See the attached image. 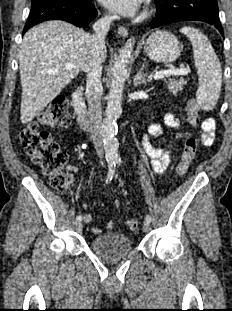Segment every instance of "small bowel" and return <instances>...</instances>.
<instances>
[{
  "instance_id": "c3829d8e",
  "label": "small bowel",
  "mask_w": 232,
  "mask_h": 311,
  "mask_svg": "<svg viewBox=\"0 0 232 311\" xmlns=\"http://www.w3.org/2000/svg\"><path fill=\"white\" fill-rule=\"evenodd\" d=\"M164 123L167 127L172 129L179 130L181 128V120L172 113H166L164 115ZM200 126L203 132L201 136V143L207 147L213 145L215 140V121L211 118H207L201 122ZM147 134L154 138H164L167 140V144L165 146L155 148L148 142L146 137L142 139V148L150 157L151 168L155 173H163L167 169L176 140L191 135L188 131H178L174 136H170L166 130L158 124L149 125ZM115 206H119V203L115 202ZM91 220L92 217L89 214L84 216V221L86 223H90ZM113 223V220L109 221L106 227L108 229L112 228ZM91 230L94 234H100L102 232V230L98 227H93Z\"/></svg>"
}]
</instances>
